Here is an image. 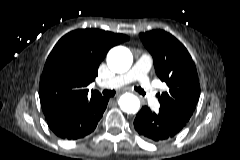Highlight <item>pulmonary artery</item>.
<instances>
[{
  "instance_id": "obj_1",
  "label": "pulmonary artery",
  "mask_w": 240,
  "mask_h": 160,
  "mask_svg": "<svg viewBox=\"0 0 240 160\" xmlns=\"http://www.w3.org/2000/svg\"><path fill=\"white\" fill-rule=\"evenodd\" d=\"M152 63V58L148 54H142L128 72L114 77L106 83V86L119 87L133 81H138L144 92H146L147 100L151 106L153 108H158V100L154 93V86L148 77V72L152 67Z\"/></svg>"
}]
</instances>
